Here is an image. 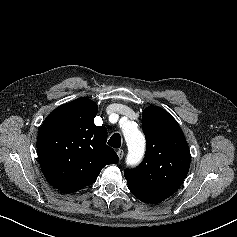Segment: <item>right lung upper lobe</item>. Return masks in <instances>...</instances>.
Returning a JSON list of instances; mask_svg holds the SVG:
<instances>
[{
	"label": "right lung upper lobe",
	"mask_w": 237,
	"mask_h": 237,
	"mask_svg": "<svg viewBox=\"0 0 237 237\" xmlns=\"http://www.w3.org/2000/svg\"><path fill=\"white\" fill-rule=\"evenodd\" d=\"M97 112L95 102L78 98L52 111L39 130L36 145L42 171L64 193L93 184L105 165L118 162L106 145V127L94 124Z\"/></svg>",
	"instance_id": "obj_1"
}]
</instances>
